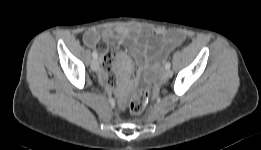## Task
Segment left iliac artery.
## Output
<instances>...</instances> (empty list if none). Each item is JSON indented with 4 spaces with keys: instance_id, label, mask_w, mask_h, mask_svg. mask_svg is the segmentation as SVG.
<instances>
[{
    "instance_id": "left-iliac-artery-1",
    "label": "left iliac artery",
    "mask_w": 261,
    "mask_h": 150,
    "mask_svg": "<svg viewBox=\"0 0 261 150\" xmlns=\"http://www.w3.org/2000/svg\"><path fill=\"white\" fill-rule=\"evenodd\" d=\"M170 67H171L170 62H167V63L165 64V68H166V69H170Z\"/></svg>"
}]
</instances>
